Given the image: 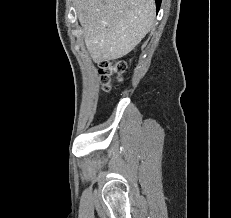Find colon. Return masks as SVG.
I'll return each mask as SVG.
<instances>
[{
	"mask_svg": "<svg viewBox=\"0 0 231 218\" xmlns=\"http://www.w3.org/2000/svg\"><path fill=\"white\" fill-rule=\"evenodd\" d=\"M126 69L123 61L102 60L99 63L100 78L106 91L110 89L113 78H119Z\"/></svg>",
	"mask_w": 231,
	"mask_h": 218,
	"instance_id": "obj_1",
	"label": "colon"
}]
</instances>
